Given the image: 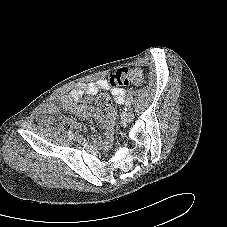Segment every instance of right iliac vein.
Masks as SVG:
<instances>
[{
	"mask_svg": "<svg viewBox=\"0 0 227 227\" xmlns=\"http://www.w3.org/2000/svg\"><path fill=\"white\" fill-rule=\"evenodd\" d=\"M73 138L77 142H82V140H83V137L79 134H76Z\"/></svg>",
	"mask_w": 227,
	"mask_h": 227,
	"instance_id": "1",
	"label": "right iliac vein"
}]
</instances>
